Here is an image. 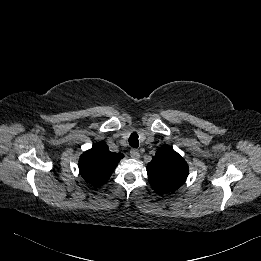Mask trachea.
Listing matches in <instances>:
<instances>
[{
	"instance_id": "3493384b",
	"label": "trachea",
	"mask_w": 261,
	"mask_h": 261,
	"mask_svg": "<svg viewBox=\"0 0 261 261\" xmlns=\"http://www.w3.org/2000/svg\"><path fill=\"white\" fill-rule=\"evenodd\" d=\"M129 145L133 148H137L139 146V139L137 133H132L129 137Z\"/></svg>"
}]
</instances>
